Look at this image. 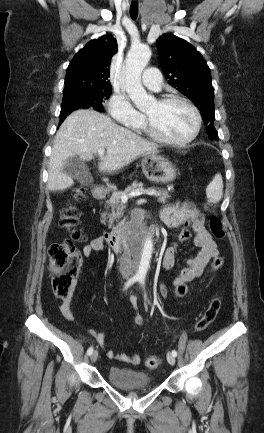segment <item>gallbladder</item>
Here are the masks:
<instances>
[{
  "instance_id": "1",
  "label": "gallbladder",
  "mask_w": 264,
  "mask_h": 433,
  "mask_svg": "<svg viewBox=\"0 0 264 433\" xmlns=\"http://www.w3.org/2000/svg\"><path fill=\"white\" fill-rule=\"evenodd\" d=\"M63 172L69 177L77 180L82 185L92 184L91 173L78 156H71L65 161Z\"/></svg>"
}]
</instances>
